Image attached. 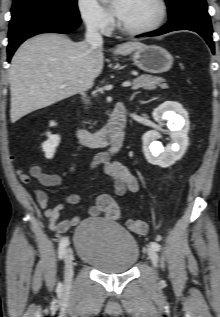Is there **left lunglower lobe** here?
<instances>
[{"label":"left lung lower lobe","instance_id":"0a47b994","mask_svg":"<svg viewBox=\"0 0 220 317\" xmlns=\"http://www.w3.org/2000/svg\"><path fill=\"white\" fill-rule=\"evenodd\" d=\"M176 30H191L200 34L214 53L212 26L207 12V4L203 0H189L161 29L141 36H158Z\"/></svg>","mask_w":220,"mask_h":317}]
</instances>
